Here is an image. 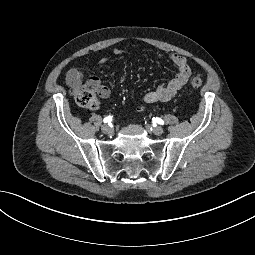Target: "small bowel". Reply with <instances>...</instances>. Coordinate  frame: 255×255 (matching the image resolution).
<instances>
[{"label": "small bowel", "instance_id": "small-bowel-1", "mask_svg": "<svg viewBox=\"0 0 255 255\" xmlns=\"http://www.w3.org/2000/svg\"><path fill=\"white\" fill-rule=\"evenodd\" d=\"M122 49L115 48L114 55H121ZM163 58V55H158ZM168 59L177 67L176 75L166 84L158 86L155 90L147 92L143 95L142 100L146 104H153L157 102L167 103L172 100L177 93L185 86L191 76V68L187 59L179 54L172 53L168 55ZM107 62V58L103 57L99 60V64L103 65ZM85 81V73L81 67H72L68 70L66 75L67 84L74 88L79 87ZM88 85L92 86L102 98L109 96V89L102 84L98 77H90L87 80ZM144 109L143 106L138 107L139 111Z\"/></svg>", "mask_w": 255, "mask_h": 255}]
</instances>
